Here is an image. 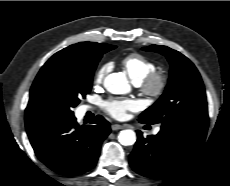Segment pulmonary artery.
<instances>
[{"instance_id":"1","label":"pulmonary artery","mask_w":230,"mask_h":186,"mask_svg":"<svg viewBox=\"0 0 230 186\" xmlns=\"http://www.w3.org/2000/svg\"><path fill=\"white\" fill-rule=\"evenodd\" d=\"M160 131V128H156L155 130H154V133H158Z\"/></svg>"}]
</instances>
